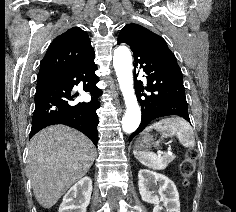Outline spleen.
I'll list each match as a JSON object with an SVG mask.
<instances>
[{
    "label": "spleen",
    "mask_w": 236,
    "mask_h": 212,
    "mask_svg": "<svg viewBox=\"0 0 236 212\" xmlns=\"http://www.w3.org/2000/svg\"><path fill=\"white\" fill-rule=\"evenodd\" d=\"M158 130L162 132V138L177 136L179 142L184 147H194L195 137L190 124L183 118L171 117L164 118L148 126L145 131ZM159 141L155 143V146ZM136 159L143 165L155 170H163L167 167L164 156L158 152L152 153L148 151H134Z\"/></svg>",
    "instance_id": "spleen-1"
}]
</instances>
